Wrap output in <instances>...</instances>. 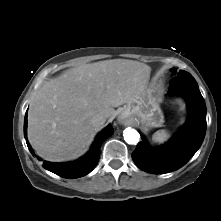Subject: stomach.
<instances>
[{
    "instance_id": "obj_1",
    "label": "stomach",
    "mask_w": 221,
    "mask_h": 221,
    "mask_svg": "<svg viewBox=\"0 0 221 221\" xmlns=\"http://www.w3.org/2000/svg\"><path fill=\"white\" fill-rule=\"evenodd\" d=\"M123 114L139 121L147 128L160 127L164 122L158 102L148 90L126 104L123 108Z\"/></svg>"
}]
</instances>
